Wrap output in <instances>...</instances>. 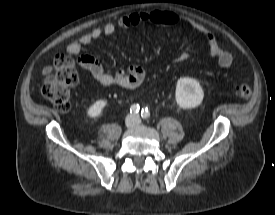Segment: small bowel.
I'll list each match as a JSON object with an SVG mask.
<instances>
[{"label":"small bowel","mask_w":275,"mask_h":215,"mask_svg":"<svg viewBox=\"0 0 275 215\" xmlns=\"http://www.w3.org/2000/svg\"><path fill=\"white\" fill-rule=\"evenodd\" d=\"M140 24L164 26L188 25L207 41L210 55L217 61L219 67L229 69L232 66V55L220 46L217 38L209 29L169 10L137 12L123 16L115 22H109L103 26L95 27L90 32L85 33L79 39L70 43L67 47V52L76 56L77 65L81 69L88 71L99 84L108 87L135 88L141 85L146 78V71L143 67L132 65L119 69L117 72H109L103 68L95 57L82 55L81 53L84 46L104 35H112L118 29H127ZM185 58L186 54H183L180 60Z\"/></svg>","instance_id":"obj_1"}]
</instances>
